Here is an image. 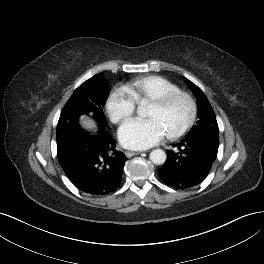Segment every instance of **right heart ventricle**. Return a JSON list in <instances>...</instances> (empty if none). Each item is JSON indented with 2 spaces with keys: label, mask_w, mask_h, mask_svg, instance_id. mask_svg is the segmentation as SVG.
I'll return each mask as SVG.
<instances>
[{
  "label": "right heart ventricle",
  "mask_w": 264,
  "mask_h": 264,
  "mask_svg": "<svg viewBox=\"0 0 264 264\" xmlns=\"http://www.w3.org/2000/svg\"><path fill=\"white\" fill-rule=\"evenodd\" d=\"M126 89L135 102L142 103L179 90L177 84L160 75L142 76L131 81Z\"/></svg>",
  "instance_id": "obj_1"
}]
</instances>
